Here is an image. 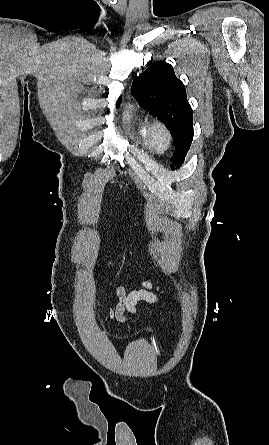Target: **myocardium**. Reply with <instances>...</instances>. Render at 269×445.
<instances>
[{
	"label": "myocardium",
	"instance_id": "1",
	"mask_svg": "<svg viewBox=\"0 0 269 445\" xmlns=\"http://www.w3.org/2000/svg\"><path fill=\"white\" fill-rule=\"evenodd\" d=\"M148 141L159 154L167 152L172 145L173 136L169 127L161 120H155L148 125Z\"/></svg>",
	"mask_w": 269,
	"mask_h": 445
}]
</instances>
